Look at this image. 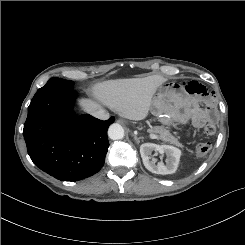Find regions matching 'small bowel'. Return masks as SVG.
<instances>
[{
    "instance_id": "1",
    "label": "small bowel",
    "mask_w": 245,
    "mask_h": 245,
    "mask_svg": "<svg viewBox=\"0 0 245 245\" xmlns=\"http://www.w3.org/2000/svg\"><path fill=\"white\" fill-rule=\"evenodd\" d=\"M186 91L191 95L196 96H208L209 91L205 86L197 81H188L184 84ZM194 114H193V124L196 127L202 126L209 118V111L203 110L198 106L194 105Z\"/></svg>"
}]
</instances>
